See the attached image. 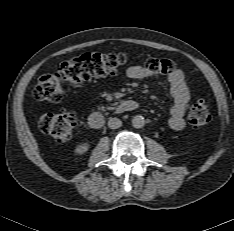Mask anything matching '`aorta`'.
<instances>
[{
  "label": "aorta",
  "instance_id": "aorta-1",
  "mask_svg": "<svg viewBox=\"0 0 234 231\" xmlns=\"http://www.w3.org/2000/svg\"><path fill=\"white\" fill-rule=\"evenodd\" d=\"M144 125H145V119H144L143 116L137 115V116L133 117V119H132V126L134 128L139 129V128L144 127Z\"/></svg>",
  "mask_w": 234,
  "mask_h": 231
}]
</instances>
